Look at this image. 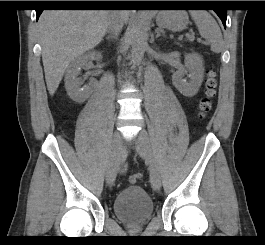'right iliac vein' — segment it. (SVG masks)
Instances as JSON below:
<instances>
[{
	"label": "right iliac vein",
	"mask_w": 265,
	"mask_h": 245,
	"mask_svg": "<svg viewBox=\"0 0 265 245\" xmlns=\"http://www.w3.org/2000/svg\"><path fill=\"white\" fill-rule=\"evenodd\" d=\"M120 146H121V135L119 132L114 133L112 138L111 146V157L107 165L106 170V180L109 185H111L117 176L119 167V156H120Z\"/></svg>",
	"instance_id": "obj_1"
}]
</instances>
